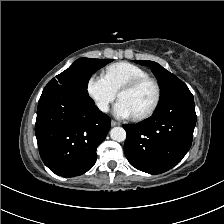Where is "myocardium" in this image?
I'll list each match as a JSON object with an SVG mask.
<instances>
[{"instance_id": "f54148a6", "label": "myocardium", "mask_w": 224, "mask_h": 224, "mask_svg": "<svg viewBox=\"0 0 224 224\" xmlns=\"http://www.w3.org/2000/svg\"><path fill=\"white\" fill-rule=\"evenodd\" d=\"M147 82L152 84V86L154 87V91H155L154 98L146 110H144L140 114L135 115V119H137V120H141V119H144V118L150 116L157 108V106L160 102V99H161V87H160L158 81L150 76L138 77V78H135V79L125 83L117 91V97L119 98V96L122 92L134 90L137 87H139L141 84L147 83Z\"/></svg>"}]
</instances>
